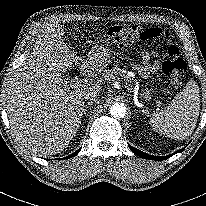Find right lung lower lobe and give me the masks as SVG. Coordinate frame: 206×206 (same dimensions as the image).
<instances>
[{
  "label": "right lung lower lobe",
  "instance_id": "obj_1",
  "mask_svg": "<svg viewBox=\"0 0 206 206\" xmlns=\"http://www.w3.org/2000/svg\"><path fill=\"white\" fill-rule=\"evenodd\" d=\"M79 151H80V149H78L75 153L65 157V159H68V158H71V157L75 156L76 154H78Z\"/></svg>",
  "mask_w": 206,
  "mask_h": 206
}]
</instances>
